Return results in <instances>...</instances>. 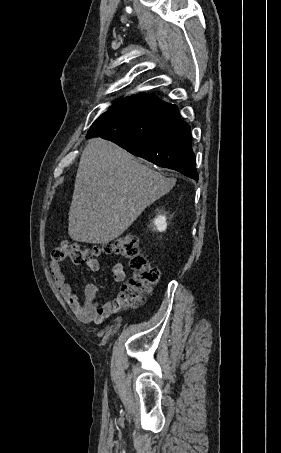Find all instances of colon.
Segmentation results:
<instances>
[{
    "instance_id": "1",
    "label": "colon",
    "mask_w": 281,
    "mask_h": 453,
    "mask_svg": "<svg viewBox=\"0 0 281 453\" xmlns=\"http://www.w3.org/2000/svg\"><path fill=\"white\" fill-rule=\"evenodd\" d=\"M100 256L119 257L128 260L132 272L126 280L119 296L118 307H123L149 291L150 285L157 282L159 273L150 267L142 254L137 238H118L97 245L92 250L78 240L63 239L52 253V259L59 262L69 257L73 262H92Z\"/></svg>"
}]
</instances>
